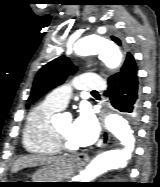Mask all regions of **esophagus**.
<instances>
[{
    "label": "esophagus",
    "instance_id": "esophagus-1",
    "mask_svg": "<svg viewBox=\"0 0 160 187\" xmlns=\"http://www.w3.org/2000/svg\"><path fill=\"white\" fill-rule=\"evenodd\" d=\"M105 145H106L105 142H103L102 146H105ZM75 160H76V162H78L80 164H85L89 161V156L87 154L80 153L75 156Z\"/></svg>",
    "mask_w": 160,
    "mask_h": 187
}]
</instances>
